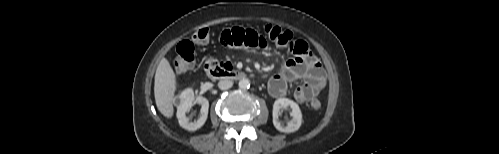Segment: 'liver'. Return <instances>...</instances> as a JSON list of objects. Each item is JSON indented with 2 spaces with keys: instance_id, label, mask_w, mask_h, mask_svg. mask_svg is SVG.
I'll list each match as a JSON object with an SVG mask.
<instances>
[{
  "instance_id": "6515ba94",
  "label": "liver",
  "mask_w": 499,
  "mask_h": 154,
  "mask_svg": "<svg viewBox=\"0 0 499 154\" xmlns=\"http://www.w3.org/2000/svg\"><path fill=\"white\" fill-rule=\"evenodd\" d=\"M176 88V75L169 61L163 58L158 64L155 74L154 96L158 110L166 118L173 117V100Z\"/></svg>"
}]
</instances>
